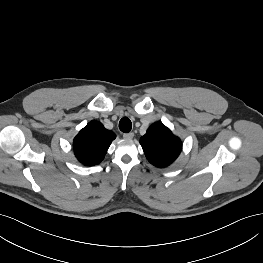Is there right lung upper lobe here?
Masks as SVG:
<instances>
[{
    "instance_id": "obj_1",
    "label": "right lung upper lobe",
    "mask_w": 263,
    "mask_h": 263,
    "mask_svg": "<svg viewBox=\"0 0 263 263\" xmlns=\"http://www.w3.org/2000/svg\"><path fill=\"white\" fill-rule=\"evenodd\" d=\"M115 137V134L104 128L100 122H89L74 139L77 159L87 166L100 163Z\"/></svg>"
}]
</instances>
